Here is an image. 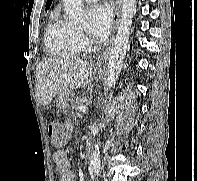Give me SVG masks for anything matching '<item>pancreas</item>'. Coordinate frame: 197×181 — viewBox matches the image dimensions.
<instances>
[{"label": "pancreas", "mask_w": 197, "mask_h": 181, "mask_svg": "<svg viewBox=\"0 0 197 181\" xmlns=\"http://www.w3.org/2000/svg\"><path fill=\"white\" fill-rule=\"evenodd\" d=\"M85 100H86V98L85 97H81V96H78V97L74 98L73 101H72V108H73V110L79 111L80 108L82 106H84Z\"/></svg>", "instance_id": "1"}]
</instances>
